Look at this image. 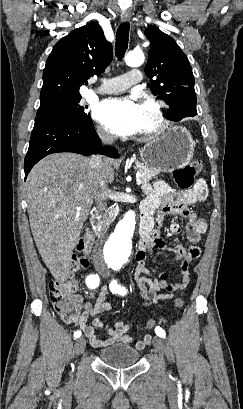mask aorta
I'll return each mask as SVG.
<instances>
[{
	"mask_svg": "<svg viewBox=\"0 0 243 409\" xmlns=\"http://www.w3.org/2000/svg\"><path fill=\"white\" fill-rule=\"evenodd\" d=\"M126 64L131 67H138L144 62V55L141 51H131L125 58ZM136 215L129 210L119 221L114 233L107 241L108 251L112 256L125 258L131 252V238L135 231Z\"/></svg>",
	"mask_w": 243,
	"mask_h": 409,
	"instance_id": "aorta-1",
	"label": "aorta"
}]
</instances>
